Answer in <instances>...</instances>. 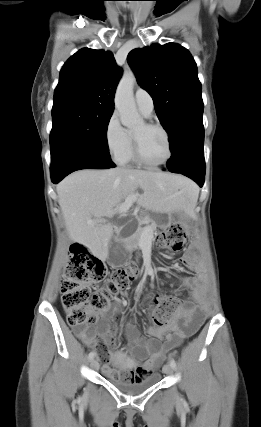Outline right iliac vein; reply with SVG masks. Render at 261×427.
I'll list each match as a JSON object with an SVG mask.
<instances>
[{"label":"right iliac vein","mask_w":261,"mask_h":427,"mask_svg":"<svg viewBox=\"0 0 261 427\" xmlns=\"http://www.w3.org/2000/svg\"><path fill=\"white\" fill-rule=\"evenodd\" d=\"M91 367L94 370H98L99 369V363H98V361L96 359H92V361H91Z\"/></svg>","instance_id":"right-iliac-vein-1"}]
</instances>
